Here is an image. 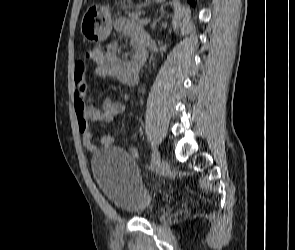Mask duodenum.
Returning <instances> with one entry per match:
<instances>
[{
	"instance_id": "1",
	"label": "duodenum",
	"mask_w": 295,
	"mask_h": 250,
	"mask_svg": "<svg viewBox=\"0 0 295 250\" xmlns=\"http://www.w3.org/2000/svg\"><path fill=\"white\" fill-rule=\"evenodd\" d=\"M144 61H145V56L144 55H141L140 61H139V67H142L143 66Z\"/></svg>"
}]
</instances>
